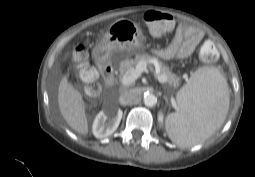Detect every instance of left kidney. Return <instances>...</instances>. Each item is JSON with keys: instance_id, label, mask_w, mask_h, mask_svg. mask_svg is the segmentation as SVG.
Here are the masks:
<instances>
[{"instance_id": "1", "label": "left kidney", "mask_w": 255, "mask_h": 177, "mask_svg": "<svg viewBox=\"0 0 255 177\" xmlns=\"http://www.w3.org/2000/svg\"><path fill=\"white\" fill-rule=\"evenodd\" d=\"M159 121L162 122L163 121V115L159 114Z\"/></svg>"}]
</instances>
